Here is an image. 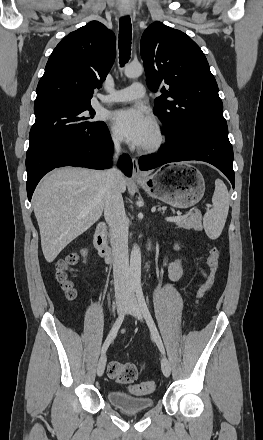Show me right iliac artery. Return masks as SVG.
<instances>
[{"instance_id":"82829eb1","label":"right iliac artery","mask_w":263,"mask_h":440,"mask_svg":"<svg viewBox=\"0 0 263 440\" xmlns=\"http://www.w3.org/2000/svg\"><path fill=\"white\" fill-rule=\"evenodd\" d=\"M134 290L131 289L130 290V296L133 295ZM127 310L125 309L120 315L119 317L116 319L112 329L110 330L103 346H102V350L101 353H105L109 347V345L111 344V342L115 339L117 332L120 328V326L122 325L125 315H126Z\"/></svg>"}]
</instances>
